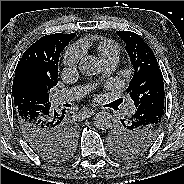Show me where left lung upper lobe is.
<instances>
[{
	"mask_svg": "<svg viewBox=\"0 0 184 184\" xmlns=\"http://www.w3.org/2000/svg\"><path fill=\"white\" fill-rule=\"evenodd\" d=\"M117 34L126 43V51L134 68L133 78L126 89L134 105L138 107L157 95L165 96L163 76L151 48L133 32L117 31ZM161 125L162 118L141 126L121 119L109 133L113 152L121 158L139 156L152 146Z\"/></svg>",
	"mask_w": 184,
	"mask_h": 184,
	"instance_id": "5c2ea615",
	"label": "left lung upper lobe"
}]
</instances>
